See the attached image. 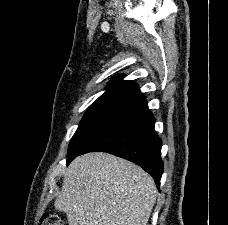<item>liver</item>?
<instances>
[{
  "label": "liver",
  "mask_w": 228,
  "mask_h": 225,
  "mask_svg": "<svg viewBox=\"0 0 228 225\" xmlns=\"http://www.w3.org/2000/svg\"><path fill=\"white\" fill-rule=\"evenodd\" d=\"M55 209L69 225H147L156 185L143 169L108 153L74 159L63 175Z\"/></svg>",
  "instance_id": "liver-1"
}]
</instances>
